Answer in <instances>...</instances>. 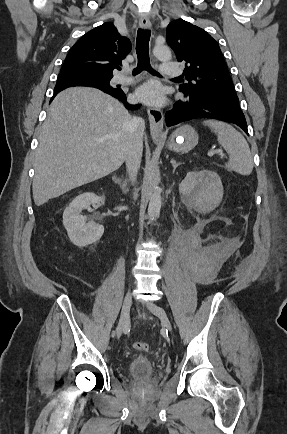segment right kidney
I'll return each instance as SVG.
<instances>
[{"instance_id":"ca27d5eb","label":"right kidney","mask_w":287,"mask_h":434,"mask_svg":"<svg viewBox=\"0 0 287 434\" xmlns=\"http://www.w3.org/2000/svg\"><path fill=\"white\" fill-rule=\"evenodd\" d=\"M105 197L94 193H83L77 196L63 213V225L67 230L70 241L78 246L84 247L98 241L104 232L102 225L95 222L86 223L85 217L81 215L83 209H90L91 205L104 203Z\"/></svg>"}]
</instances>
